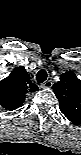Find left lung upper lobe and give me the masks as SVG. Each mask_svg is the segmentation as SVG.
I'll return each mask as SVG.
<instances>
[{"instance_id":"left-lung-upper-lobe-1","label":"left lung upper lobe","mask_w":81,"mask_h":155,"mask_svg":"<svg viewBox=\"0 0 81 155\" xmlns=\"http://www.w3.org/2000/svg\"><path fill=\"white\" fill-rule=\"evenodd\" d=\"M60 102L61 112L75 124L81 123V80L69 71L61 74L60 81L53 85Z\"/></svg>"}]
</instances>
